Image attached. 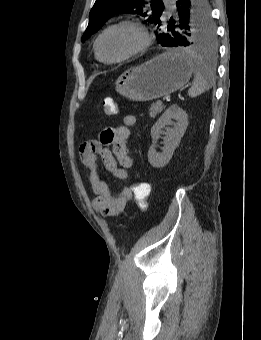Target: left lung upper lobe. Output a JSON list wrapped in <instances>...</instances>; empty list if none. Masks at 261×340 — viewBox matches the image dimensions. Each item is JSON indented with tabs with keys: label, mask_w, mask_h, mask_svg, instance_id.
Returning <instances> with one entry per match:
<instances>
[{
	"label": "left lung upper lobe",
	"mask_w": 261,
	"mask_h": 340,
	"mask_svg": "<svg viewBox=\"0 0 261 340\" xmlns=\"http://www.w3.org/2000/svg\"><path fill=\"white\" fill-rule=\"evenodd\" d=\"M96 0L90 11V21L82 36L84 42L92 34L97 32L104 23L117 13L138 14L147 16V22L158 24V27L167 23V29L156 32L158 43L163 45L166 37H175L178 46L202 52H215L216 32L210 15V9L206 0H192L191 7L187 15L182 16L179 23L162 22L161 16L164 11L162 0Z\"/></svg>",
	"instance_id": "5c2ea615"
}]
</instances>
